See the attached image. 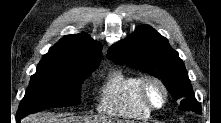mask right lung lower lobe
Instances as JSON below:
<instances>
[{
    "label": "right lung lower lobe",
    "mask_w": 221,
    "mask_h": 123,
    "mask_svg": "<svg viewBox=\"0 0 221 123\" xmlns=\"http://www.w3.org/2000/svg\"><path fill=\"white\" fill-rule=\"evenodd\" d=\"M25 116L26 115H24V114L17 113L16 119H17V121H19V120H21Z\"/></svg>",
    "instance_id": "1"
}]
</instances>
